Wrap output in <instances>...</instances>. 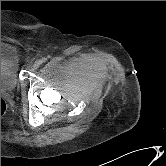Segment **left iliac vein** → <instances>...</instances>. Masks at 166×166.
I'll use <instances>...</instances> for the list:
<instances>
[{
  "instance_id": "left-iliac-vein-1",
  "label": "left iliac vein",
  "mask_w": 166,
  "mask_h": 166,
  "mask_svg": "<svg viewBox=\"0 0 166 166\" xmlns=\"http://www.w3.org/2000/svg\"><path fill=\"white\" fill-rule=\"evenodd\" d=\"M40 64H41L40 60L35 61L34 64H33V68L34 69L39 68Z\"/></svg>"
}]
</instances>
